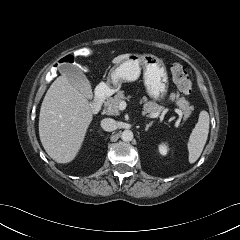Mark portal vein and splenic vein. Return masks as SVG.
<instances>
[{
	"instance_id": "18ae733b",
	"label": "portal vein and splenic vein",
	"mask_w": 240,
	"mask_h": 240,
	"mask_svg": "<svg viewBox=\"0 0 240 240\" xmlns=\"http://www.w3.org/2000/svg\"><path fill=\"white\" fill-rule=\"evenodd\" d=\"M118 108H119L120 110H124V109L126 108V102H125V101H121V102L119 103V105H118ZM174 111L179 115L180 118L182 117L183 114H182V111H181V110L175 109ZM165 113H166V111H163L162 115H164ZM158 115H159V113H155V114H153L152 116H149V117L155 118V117H157Z\"/></svg>"
}]
</instances>
